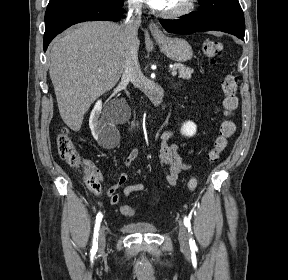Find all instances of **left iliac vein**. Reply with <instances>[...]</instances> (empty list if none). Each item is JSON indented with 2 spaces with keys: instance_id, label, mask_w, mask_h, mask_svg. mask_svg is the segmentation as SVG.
Masks as SVG:
<instances>
[{
  "instance_id": "4c4485c4",
  "label": "left iliac vein",
  "mask_w": 288,
  "mask_h": 280,
  "mask_svg": "<svg viewBox=\"0 0 288 280\" xmlns=\"http://www.w3.org/2000/svg\"><path fill=\"white\" fill-rule=\"evenodd\" d=\"M178 239L181 247L187 250L189 248V235L186 226L181 222L179 224Z\"/></svg>"
}]
</instances>
